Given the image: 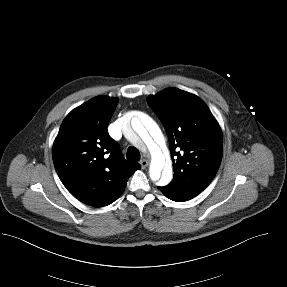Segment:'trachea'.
<instances>
[{
  "mask_svg": "<svg viewBox=\"0 0 287 287\" xmlns=\"http://www.w3.org/2000/svg\"><path fill=\"white\" fill-rule=\"evenodd\" d=\"M126 157L130 161H139L140 160V152L137 148L130 146L127 149Z\"/></svg>",
  "mask_w": 287,
  "mask_h": 287,
  "instance_id": "obj_1",
  "label": "trachea"
}]
</instances>
